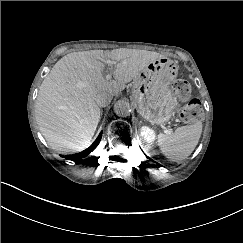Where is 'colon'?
<instances>
[{
    "label": "colon",
    "instance_id": "colon-1",
    "mask_svg": "<svg viewBox=\"0 0 243 243\" xmlns=\"http://www.w3.org/2000/svg\"><path fill=\"white\" fill-rule=\"evenodd\" d=\"M173 94L181 103L187 102L180 112V117L185 123H193L201 118L202 109L200 102L193 97L191 86L187 81L178 80L173 84Z\"/></svg>",
    "mask_w": 243,
    "mask_h": 243
}]
</instances>
